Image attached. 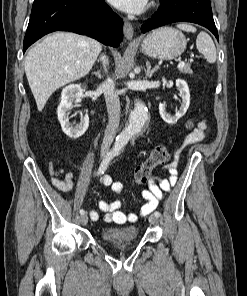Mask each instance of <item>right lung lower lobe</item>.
<instances>
[{
  "mask_svg": "<svg viewBox=\"0 0 247 296\" xmlns=\"http://www.w3.org/2000/svg\"><path fill=\"white\" fill-rule=\"evenodd\" d=\"M53 31L75 32L118 47L123 40V21L104 0H35L23 52Z\"/></svg>",
  "mask_w": 247,
  "mask_h": 296,
  "instance_id": "obj_1",
  "label": "right lung lower lobe"
}]
</instances>
